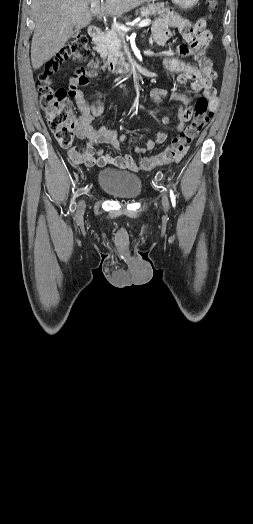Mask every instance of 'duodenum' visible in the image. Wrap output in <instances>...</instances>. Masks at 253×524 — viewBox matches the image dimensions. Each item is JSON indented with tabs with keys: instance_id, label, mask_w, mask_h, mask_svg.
Segmentation results:
<instances>
[{
	"instance_id": "410a0bca",
	"label": "duodenum",
	"mask_w": 253,
	"mask_h": 524,
	"mask_svg": "<svg viewBox=\"0 0 253 524\" xmlns=\"http://www.w3.org/2000/svg\"><path fill=\"white\" fill-rule=\"evenodd\" d=\"M89 35L95 42H97L101 37V30L98 27L93 26L89 29ZM103 66L112 73H133L135 70L134 64L118 59H106Z\"/></svg>"
}]
</instances>
